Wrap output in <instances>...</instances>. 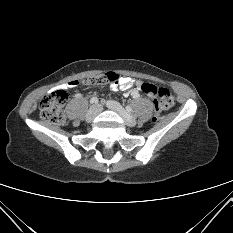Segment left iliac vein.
Listing matches in <instances>:
<instances>
[{
  "instance_id": "4c4485c4",
  "label": "left iliac vein",
  "mask_w": 233,
  "mask_h": 233,
  "mask_svg": "<svg viewBox=\"0 0 233 233\" xmlns=\"http://www.w3.org/2000/svg\"><path fill=\"white\" fill-rule=\"evenodd\" d=\"M107 107L117 112L127 126L134 127L136 125L135 117L129 114L118 102L112 100L107 101Z\"/></svg>"
}]
</instances>
